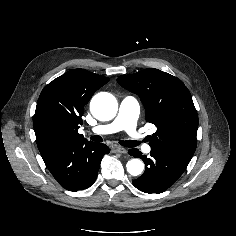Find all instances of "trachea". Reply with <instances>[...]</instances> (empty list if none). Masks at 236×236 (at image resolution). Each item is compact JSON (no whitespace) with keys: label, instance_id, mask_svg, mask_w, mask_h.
<instances>
[{"label":"trachea","instance_id":"obj_1","mask_svg":"<svg viewBox=\"0 0 236 236\" xmlns=\"http://www.w3.org/2000/svg\"><path fill=\"white\" fill-rule=\"evenodd\" d=\"M92 141H95V142H103V139L101 136L99 135H94L90 138ZM119 144L124 146V147H135L138 145V143L136 141H132V140H121L119 141Z\"/></svg>","mask_w":236,"mask_h":236}]
</instances>
